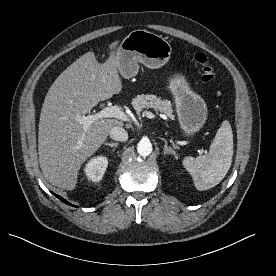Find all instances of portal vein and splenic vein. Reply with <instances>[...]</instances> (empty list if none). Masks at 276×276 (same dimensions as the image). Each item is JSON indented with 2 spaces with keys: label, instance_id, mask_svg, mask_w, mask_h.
Instances as JSON below:
<instances>
[{
  "label": "portal vein and splenic vein",
  "instance_id": "1",
  "mask_svg": "<svg viewBox=\"0 0 276 276\" xmlns=\"http://www.w3.org/2000/svg\"><path fill=\"white\" fill-rule=\"evenodd\" d=\"M145 115L150 119L155 117L153 113L148 111L145 112ZM103 118H116L122 121L129 120V117L117 106H107L95 114L82 116L77 120L84 125V130H87L94 121Z\"/></svg>",
  "mask_w": 276,
  "mask_h": 276
}]
</instances>
